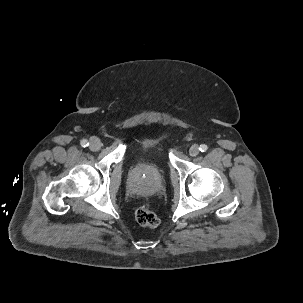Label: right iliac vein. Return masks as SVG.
I'll return each instance as SVG.
<instances>
[{
    "label": "right iliac vein",
    "mask_w": 303,
    "mask_h": 303,
    "mask_svg": "<svg viewBox=\"0 0 303 303\" xmlns=\"http://www.w3.org/2000/svg\"><path fill=\"white\" fill-rule=\"evenodd\" d=\"M101 147V142L98 138L96 137H93L90 139V145H89V148L92 150V151H98Z\"/></svg>",
    "instance_id": "63e3f726"
}]
</instances>
